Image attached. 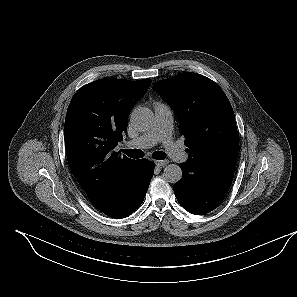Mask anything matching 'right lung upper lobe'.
I'll use <instances>...</instances> for the list:
<instances>
[{
  "label": "right lung upper lobe",
  "mask_w": 297,
  "mask_h": 297,
  "mask_svg": "<svg viewBox=\"0 0 297 297\" xmlns=\"http://www.w3.org/2000/svg\"><path fill=\"white\" fill-rule=\"evenodd\" d=\"M150 79H99L73 96L65 119L67 160L88 199L99 210L120 191L137 161L114 148L127 132L128 115Z\"/></svg>",
  "instance_id": "cb5924a9"
}]
</instances>
